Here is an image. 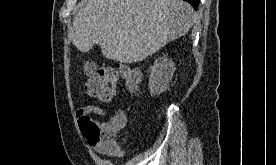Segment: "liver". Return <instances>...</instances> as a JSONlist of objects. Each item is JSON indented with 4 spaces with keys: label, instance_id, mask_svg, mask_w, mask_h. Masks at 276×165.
<instances>
[{
    "label": "liver",
    "instance_id": "6515ba94",
    "mask_svg": "<svg viewBox=\"0 0 276 165\" xmlns=\"http://www.w3.org/2000/svg\"><path fill=\"white\" fill-rule=\"evenodd\" d=\"M194 21L183 0H87L70 39L83 53L97 44L107 59L136 63L186 35Z\"/></svg>",
    "mask_w": 276,
    "mask_h": 165
}]
</instances>
